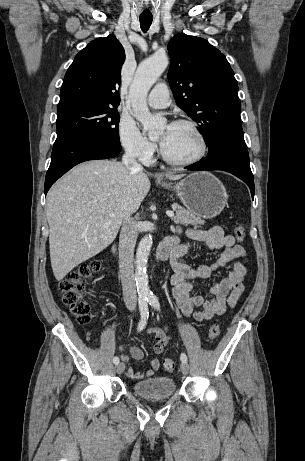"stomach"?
Segmentation results:
<instances>
[{"label": "stomach", "mask_w": 305, "mask_h": 461, "mask_svg": "<svg viewBox=\"0 0 305 461\" xmlns=\"http://www.w3.org/2000/svg\"><path fill=\"white\" fill-rule=\"evenodd\" d=\"M173 190L188 209L202 218L219 215L227 204V192L222 182L209 172H195L176 184L162 183Z\"/></svg>", "instance_id": "0dacf381"}]
</instances>
